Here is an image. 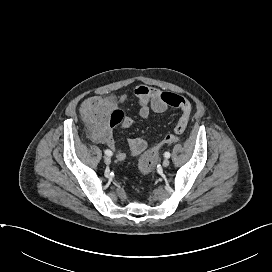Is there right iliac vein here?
Here are the masks:
<instances>
[{"mask_svg":"<svg viewBox=\"0 0 272 272\" xmlns=\"http://www.w3.org/2000/svg\"><path fill=\"white\" fill-rule=\"evenodd\" d=\"M105 164L109 165L111 163V158L109 156L104 157Z\"/></svg>","mask_w":272,"mask_h":272,"instance_id":"63e3f726","label":"right iliac vein"}]
</instances>
